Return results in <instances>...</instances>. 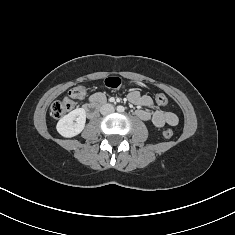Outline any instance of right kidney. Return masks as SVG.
Listing matches in <instances>:
<instances>
[{
  "label": "right kidney",
  "instance_id": "right-kidney-1",
  "mask_svg": "<svg viewBox=\"0 0 235 235\" xmlns=\"http://www.w3.org/2000/svg\"><path fill=\"white\" fill-rule=\"evenodd\" d=\"M86 122V112L83 108H77L64 117H62L56 126V129L63 137H74L80 134Z\"/></svg>",
  "mask_w": 235,
  "mask_h": 235
}]
</instances>
